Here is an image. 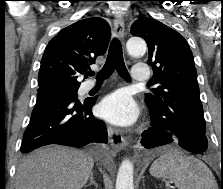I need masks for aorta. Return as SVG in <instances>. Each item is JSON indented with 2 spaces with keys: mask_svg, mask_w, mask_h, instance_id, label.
I'll return each mask as SVG.
<instances>
[{
  "mask_svg": "<svg viewBox=\"0 0 223 189\" xmlns=\"http://www.w3.org/2000/svg\"><path fill=\"white\" fill-rule=\"evenodd\" d=\"M126 48L131 56L138 57L145 54L147 45L142 38L132 37L126 43ZM134 165L129 159L122 161L116 179V189H134Z\"/></svg>",
  "mask_w": 223,
  "mask_h": 189,
  "instance_id": "obj_1",
  "label": "aorta"
}]
</instances>
